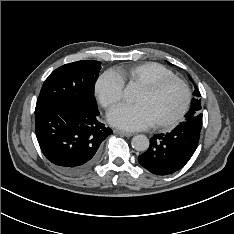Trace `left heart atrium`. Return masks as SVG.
Returning a JSON list of instances; mask_svg holds the SVG:
<instances>
[{"label": "left heart atrium", "instance_id": "1", "mask_svg": "<svg viewBox=\"0 0 234 234\" xmlns=\"http://www.w3.org/2000/svg\"><path fill=\"white\" fill-rule=\"evenodd\" d=\"M108 121L115 127L129 131L141 130L153 125L148 111L140 104L120 105L113 108L108 113Z\"/></svg>", "mask_w": 234, "mask_h": 234}]
</instances>
